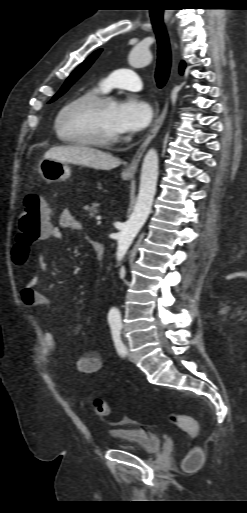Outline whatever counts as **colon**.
<instances>
[{"label":"colon","mask_w":247,"mask_h":513,"mask_svg":"<svg viewBox=\"0 0 247 513\" xmlns=\"http://www.w3.org/2000/svg\"><path fill=\"white\" fill-rule=\"evenodd\" d=\"M51 227V211L43 195L37 192L26 195L19 217L16 242L12 250L15 264L21 265L26 262L31 246L43 239L50 232ZM92 409L99 417H106L110 412L108 404L101 398L93 400ZM168 421L187 433L191 441L199 435L198 424L190 416L172 413L168 416ZM202 460V452L193 448L185 457L184 466L187 470L193 471L200 466Z\"/></svg>","instance_id":"obj_1"}]
</instances>
